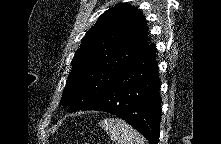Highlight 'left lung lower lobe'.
Instances as JSON below:
<instances>
[{
    "label": "left lung lower lobe",
    "instance_id": "left-lung-lower-lobe-1",
    "mask_svg": "<svg viewBox=\"0 0 221 144\" xmlns=\"http://www.w3.org/2000/svg\"><path fill=\"white\" fill-rule=\"evenodd\" d=\"M156 47L149 44L87 110L114 114L139 131L150 144L160 135L161 98Z\"/></svg>",
    "mask_w": 221,
    "mask_h": 144
}]
</instances>
